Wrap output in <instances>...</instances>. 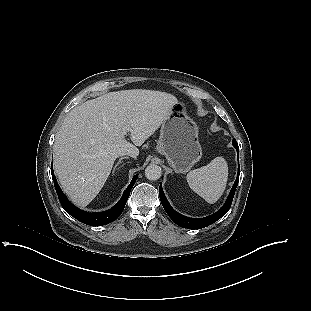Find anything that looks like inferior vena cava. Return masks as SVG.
Segmentation results:
<instances>
[{
    "label": "inferior vena cava",
    "instance_id": "inferior-vena-cava-1",
    "mask_svg": "<svg viewBox=\"0 0 311 311\" xmlns=\"http://www.w3.org/2000/svg\"><path fill=\"white\" fill-rule=\"evenodd\" d=\"M138 152V149L135 147V146H132L128 151L127 153L125 154H122L123 156L124 155H128L129 158H136L137 157V153Z\"/></svg>",
    "mask_w": 311,
    "mask_h": 311
}]
</instances>
